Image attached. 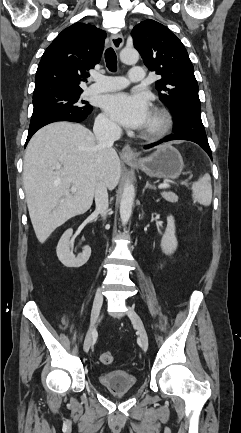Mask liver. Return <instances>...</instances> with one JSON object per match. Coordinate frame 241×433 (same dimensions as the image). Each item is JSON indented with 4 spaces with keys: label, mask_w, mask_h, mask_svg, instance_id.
<instances>
[{
    "label": "liver",
    "mask_w": 241,
    "mask_h": 433,
    "mask_svg": "<svg viewBox=\"0 0 241 433\" xmlns=\"http://www.w3.org/2000/svg\"><path fill=\"white\" fill-rule=\"evenodd\" d=\"M120 175L116 151L100 147L86 127L55 122L37 131L26 148L23 185L38 241L43 244L57 227L87 212L99 180L113 190ZM71 185L76 192L70 193Z\"/></svg>",
    "instance_id": "1"
}]
</instances>
